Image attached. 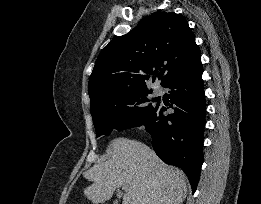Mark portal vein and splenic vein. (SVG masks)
I'll return each mask as SVG.
<instances>
[{
  "instance_id": "1",
  "label": "portal vein and splenic vein",
  "mask_w": 261,
  "mask_h": 204,
  "mask_svg": "<svg viewBox=\"0 0 261 204\" xmlns=\"http://www.w3.org/2000/svg\"><path fill=\"white\" fill-rule=\"evenodd\" d=\"M122 190L127 191L128 190V186L127 185H123L122 186Z\"/></svg>"
}]
</instances>
